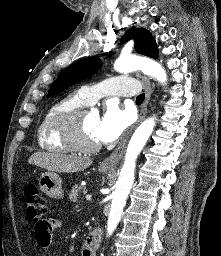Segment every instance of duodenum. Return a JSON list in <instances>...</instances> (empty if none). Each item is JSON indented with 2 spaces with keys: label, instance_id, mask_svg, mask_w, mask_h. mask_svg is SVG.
Wrapping results in <instances>:
<instances>
[{
  "label": "duodenum",
  "instance_id": "obj_1",
  "mask_svg": "<svg viewBox=\"0 0 221 256\" xmlns=\"http://www.w3.org/2000/svg\"><path fill=\"white\" fill-rule=\"evenodd\" d=\"M101 230L99 228L94 229L86 238L85 244L95 252L101 241Z\"/></svg>",
  "mask_w": 221,
  "mask_h": 256
}]
</instances>
